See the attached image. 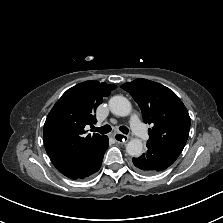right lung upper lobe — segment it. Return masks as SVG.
<instances>
[{
    "label": "right lung upper lobe",
    "instance_id": "right-lung-upper-lobe-1",
    "mask_svg": "<svg viewBox=\"0 0 223 223\" xmlns=\"http://www.w3.org/2000/svg\"><path fill=\"white\" fill-rule=\"evenodd\" d=\"M115 85L85 81L68 89L56 102L44 125V145L56 168L81 158L105 136L86 135L85 126L97 122L94 115Z\"/></svg>",
    "mask_w": 223,
    "mask_h": 223
}]
</instances>
